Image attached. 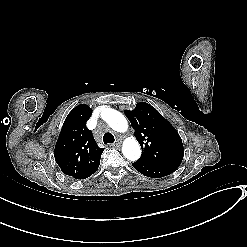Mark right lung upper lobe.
<instances>
[{
    "instance_id": "obj_1",
    "label": "right lung upper lobe",
    "mask_w": 247,
    "mask_h": 247,
    "mask_svg": "<svg viewBox=\"0 0 247 247\" xmlns=\"http://www.w3.org/2000/svg\"><path fill=\"white\" fill-rule=\"evenodd\" d=\"M92 109L85 104L76 106L66 117L54 157L62 172L76 179H85L99 167L104 148L96 144L86 122Z\"/></svg>"
}]
</instances>
